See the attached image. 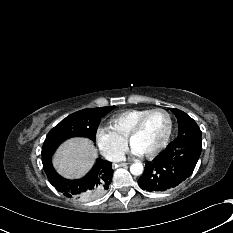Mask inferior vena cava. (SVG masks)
Masks as SVG:
<instances>
[{"label": "inferior vena cava", "mask_w": 233, "mask_h": 233, "mask_svg": "<svg viewBox=\"0 0 233 233\" xmlns=\"http://www.w3.org/2000/svg\"><path fill=\"white\" fill-rule=\"evenodd\" d=\"M125 160V156L121 154H113L109 157V161L111 162H120Z\"/></svg>", "instance_id": "inferior-vena-cava-1"}]
</instances>
